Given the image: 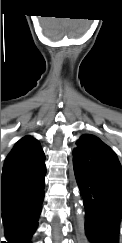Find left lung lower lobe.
I'll return each mask as SVG.
<instances>
[{
  "instance_id": "obj_1",
  "label": "left lung lower lobe",
  "mask_w": 122,
  "mask_h": 243,
  "mask_svg": "<svg viewBox=\"0 0 122 243\" xmlns=\"http://www.w3.org/2000/svg\"><path fill=\"white\" fill-rule=\"evenodd\" d=\"M80 191L83 243H119L122 222V168L109 147L82 155L74 166Z\"/></svg>"
}]
</instances>
